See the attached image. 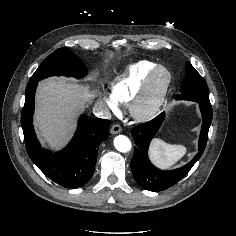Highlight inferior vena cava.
<instances>
[{"label":"inferior vena cava","mask_w":236,"mask_h":236,"mask_svg":"<svg viewBox=\"0 0 236 236\" xmlns=\"http://www.w3.org/2000/svg\"><path fill=\"white\" fill-rule=\"evenodd\" d=\"M93 113L96 117L99 118H111V113L109 109L106 107V105L102 102H96L93 107Z\"/></svg>","instance_id":"602c4592"}]
</instances>
